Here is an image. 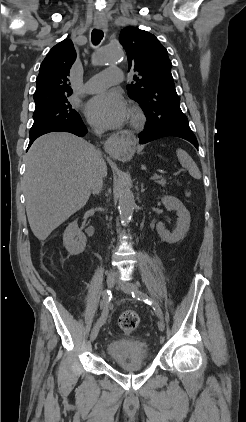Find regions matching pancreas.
I'll use <instances>...</instances> for the list:
<instances>
[{"instance_id": "cf45deb5", "label": "pancreas", "mask_w": 246, "mask_h": 422, "mask_svg": "<svg viewBox=\"0 0 246 422\" xmlns=\"http://www.w3.org/2000/svg\"><path fill=\"white\" fill-rule=\"evenodd\" d=\"M156 176H158V175H156ZM155 182L156 183H158V184H160V185H165L166 184V180L165 179H163L161 176H158L156 179H155Z\"/></svg>"}]
</instances>
